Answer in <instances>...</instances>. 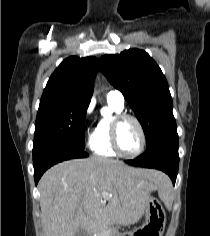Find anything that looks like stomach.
Masks as SVG:
<instances>
[{"mask_svg": "<svg viewBox=\"0 0 210 236\" xmlns=\"http://www.w3.org/2000/svg\"><path fill=\"white\" fill-rule=\"evenodd\" d=\"M166 224L165 211L160 202L150 196L145 207V221L126 236H162Z\"/></svg>", "mask_w": 210, "mask_h": 236, "instance_id": "0dacf381", "label": "stomach"}]
</instances>
